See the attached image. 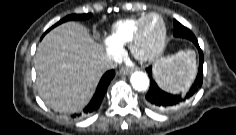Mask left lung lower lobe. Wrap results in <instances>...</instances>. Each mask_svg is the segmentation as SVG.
Segmentation results:
<instances>
[{
	"mask_svg": "<svg viewBox=\"0 0 236 135\" xmlns=\"http://www.w3.org/2000/svg\"><path fill=\"white\" fill-rule=\"evenodd\" d=\"M173 22H174L173 35L175 37L185 38L192 41L198 48L200 54L199 69L193 85L184 95H172L162 91L152 78V68L149 67L146 69L151 79V85L148 93L146 94V101L149 106L159 111H169L176 108L177 106L185 102L187 99L191 98L195 94V92L202 86L203 82L204 57L202 50L199 47L198 41L194 36V34L189 29L184 27L177 20H174Z\"/></svg>",
	"mask_w": 236,
	"mask_h": 135,
	"instance_id": "1",
	"label": "left lung lower lobe"
}]
</instances>
